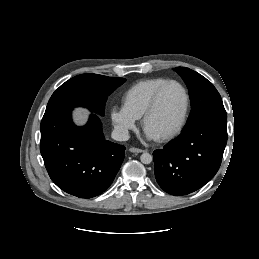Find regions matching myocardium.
<instances>
[{"label":"myocardium","mask_w":259,"mask_h":259,"mask_svg":"<svg viewBox=\"0 0 259 259\" xmlns=\"http://www.w3.org/2000/svg\"><path fill=\"white\" fill-rule=\"evenodd\" d=\"M172 84L178 85L184 93V96H185L184 111H183L182 117H181L180 121L178 122V124L167 134H165L161 137L155 138L157 141H167V140L174 138L176 135H178L180 133V131L183 129V127L185 126L188 116H189V111H190V106H191V96H190L188 88L182 82H180L178 80L169 79V80L165 81L163 84H161L155 91V93L151 99V102L142 117L143 129L146 131L147 122L150 119V117L157 110L163 91L169 85H172Z\"/></svg>","instance_id":"obj_1"}]
</instances>
